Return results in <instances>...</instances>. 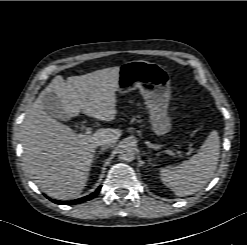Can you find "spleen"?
<instances>
[{
  "label": "spleen",
  "mask_w": 247,
  "mask_h": 245,
  "mask_svg": "<svg viewBox=\"0 0 247 245\" xmlns=\"http://www.w3.org/2000/svg\"><path fill=\"white\" fill-rule=\"evenodd\" d=\"M220 154V139L212 131L200 151L178 166L161 169L162 182L177 196L192 195L203 188L214 176Z\"/></svg>",
  "instance_id": "1"
}]
</instances>
